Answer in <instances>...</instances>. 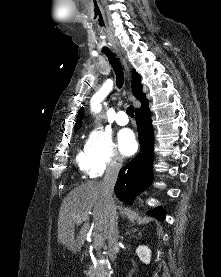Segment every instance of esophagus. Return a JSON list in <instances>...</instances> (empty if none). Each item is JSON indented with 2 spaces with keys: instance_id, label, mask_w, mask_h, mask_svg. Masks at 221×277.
<instances>
[{
  "instance_id": "1",
  "label": "esophagus",
  "mask_w": 221,
  "mask_h": 277,
  "mask_svg": "<svg viewBox=\"0 0 221 277\" xmlns=\"http://www.w3.org/2000/svg\"><path fill=\"white\" fill-rule=\"evenodd\" d=\"M116 52H117V54L120 56L119 51H116ZM121 60H122V63H123V65H124L126 71L129 73V67H128V65H127V63H126V61H125V59L121 57Z\"/></svg>"
}]
</instances>
